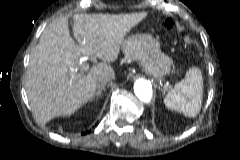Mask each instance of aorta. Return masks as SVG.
I'll return each instance as SVG.
<instances>
[{"label": "aorta", "mask_w": 240, "mask_h": 160, "mask_svg": "<svg viewBox=\"0 0 240 160\" xmlns=\"http://www.w3.org/2000/svg\"><path fill=\"white\" fill-rule=\"evenodd\" d=\"M135 95L144 103H149L152 99V85L145 79H138L134 83Z\"/></svg>", "instance_id": "aorta-1"}]
</instances>
